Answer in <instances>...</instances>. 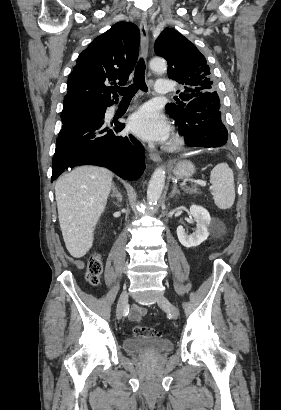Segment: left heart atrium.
Masks as SVG:
<instances>
[{
	"instance_id": "obj_1",
	"label": "left heart atrium",
	"mask_w": 281,
	"mask_h": 410,
	"mask_svg": "<svg viewBox=\"0 0 281 410\" xmlns=\"http://www.w3.org/2000/svg\"><path fill=\"white\" fill-rule=\"evenodd\" d=\"M129 128L142 139L154 142L166 141L170 132L166 118L151 105L141 107L131 116Z\"/></svg>"
}]
</instances>
